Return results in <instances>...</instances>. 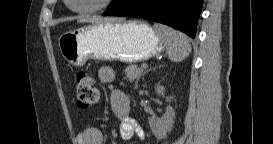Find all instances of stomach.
<instances>
[{"instance_id":"1","label":"stomach","mask_w":273,"mask_h":144,"mask_svg":"<svg viewBox=\"0 0 273 144\" xmlns=\"http://www.w3.org/2000/svg\"><path fill=\"white\" fill-rule=\"evenodd\" d=\"M58 45L63 58L73 66H83L89 59L137 63L165 49L156 30L140 21L83 26L62 34Z\"/></svg>"}]
</instances>
